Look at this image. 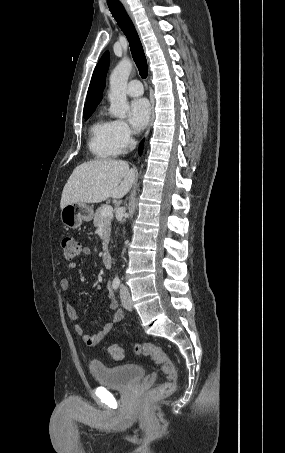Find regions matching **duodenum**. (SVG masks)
Listing matches in <instances>:
<instances>
[{"label":"duodenum","mask_w":285,"mask_h":453,"mask_svg":"<svg viewBox=\"0 0 285 453\" xmlns=\"http://www.w3.org/2000/svg\"><path fill=\"white\" fill-rule=\"evenodd\" d=\"M103 264L106 267H110L112 264V256L109 252H105L102 256Z\"/></svg>","instance_id":"obj_1"}]
</instances>
